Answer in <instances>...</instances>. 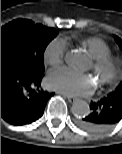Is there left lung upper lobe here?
Wrapping results in <instances>:
<instances>
[{"label":"left lung upper lobe","mask_w":122,"mask_h":154,"mask_svg":"<svg viewBox=\"0 0 122 154\" xmlns=\"http://www.w3.org/2000/svg\"><path fill=\"white\" fill-rule=\"evenodd\" d=\"M115 39L122 50V40L117 36H115ZM109 95H111L114 100H117L122 103V82L119 84L116 90L111 92Z\"/></svg>","instance_id":"5c2ea615"}]
</instances>
